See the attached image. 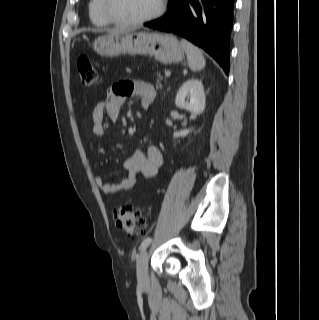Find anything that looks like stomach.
Wrapping results in <instances>:
<instances>
[{
	"label": "stomach",
	"mask_w": 319,
	"mask_h": 320,
	"mask_svg": "<svg viewBox=\"0 0 319 320\" xmlns=\"http://www.w3.org/2000/svg\"><path fill=\"white\" fill-rule=\"evenodd\" d=\"M94 51L103 57L121 54L153 55L163 64L179 63L184 50L172 34L149 32H124L98 37L93 42Z\"/></svg>",
	"instance_id": "obj_1"
}]
</instances>
